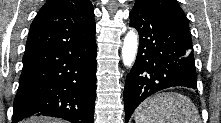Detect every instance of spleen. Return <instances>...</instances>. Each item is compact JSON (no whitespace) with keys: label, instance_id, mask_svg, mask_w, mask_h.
Instances as JSON below:
<instances>
[{"label":"spleen","instance_id":"3e777b00","mask_svg":"<svg viewBox=\"0 0 221 123\" xmlns=\"http://www.w3.org/2000/svg\"><path fill=\"white\" fill-rule=\"evenodd\" d=\"M134 119L135 123H201L194 103L175 92L146 99L135 110Z\"/></svg>","mask_w":221,"mask_h":123}]
</instances>
